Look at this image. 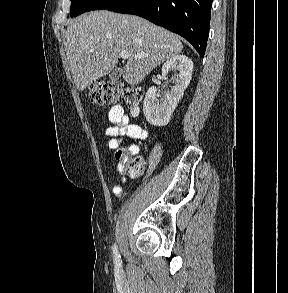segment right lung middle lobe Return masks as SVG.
I'll return each mask as SVG.
<instances>
[{"mask_svg":"<svg viewBox=\"0 0 288 293\" xmlns=\"http://www.w3.org/2000/svg\"><path fill=\"white\" fill-rule=\"evenodd\" d=\"M120 0H71L70 16L74 17L91 10L107 9Z\"/></svg>","mask_w":288,"mask_h":293,"instance_id":"dd1d6c3e","label":"right lung middle lobe"}]
</instances>
